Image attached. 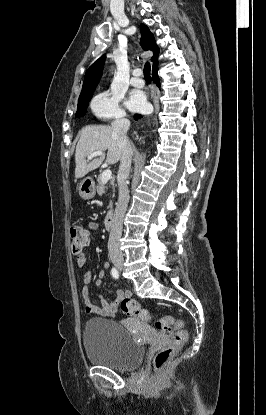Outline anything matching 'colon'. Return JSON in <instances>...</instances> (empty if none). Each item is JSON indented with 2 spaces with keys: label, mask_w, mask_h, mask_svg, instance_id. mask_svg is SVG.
Returning a JSON list of instances; mask_svg holds the SVG:
<instances>
[{
  "label": "colon",
  "mask_w": 266,
  "mask_h": 415,
  "mask_svg": "<svg viewBox=\"0 0 266 415\" xmlns=\"http://www.w3.org/2000/svg\"><path fill=\"white\" fill-rule=\"evenodd\" d=\"M69 237L72 251L75 254L81 253L83 248L87 246L89 242L88 230L79 223L72 225ZM121 309L123 313L137 317L142 321L149 322L151 320L150 312L147 309L142 308L131 298H124L122 300ZM156 327L162 332L172 334L169 344L161 348L154 356V367L159 370L165 367L185 344L188 333L185 329L184 322L180 319H175L170 315L162 316L157 321Z\"/></svg>",
  "instance_id": "1"
}]
</instances>
